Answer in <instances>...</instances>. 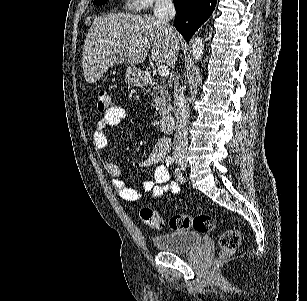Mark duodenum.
Wrapping results in <instances>:
<instances>
[{"label": "duodenum", "instance_id": "duodenum-1", "mask_svg": "<svg viewBox=\"0 0 307 301\" xmlns=\"http://www.w3.org/2000/svg\"><path fill=\"white\" fill-rule=\"evenodd\" d=\"M160 128L165 133H170L175 129L176 118L172 112H164L159 121Z\"/></svg>", "mask_w": 307, "mask_h": 301}]
</instances>
